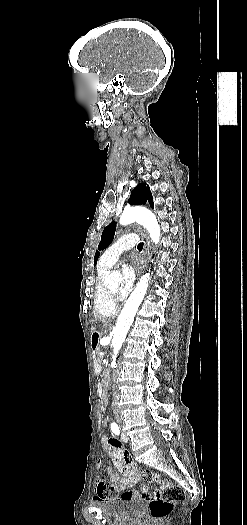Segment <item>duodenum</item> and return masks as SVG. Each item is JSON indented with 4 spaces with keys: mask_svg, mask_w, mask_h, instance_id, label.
Masks as SVG:
<instances>
[{
    "mask_svg": "<svg viewBox=\"0 0 247 525\" xmlns=\"http://www.w3.org/2000/svg\"><path fill=\"white\" fill-rule=\"evenodd\" d=\"M101 370H102V366H101V364L99 363V361L96 360V361L94 362V371H95L96 374H99V373L101 372ZM97 392H98L99 397L102 398V399H104V397H105V396H104V391H103V388H102L101 385H98V387H97Z\"/></svg>",
    "mask_w": 247,
    "mask_h": 525,
    "instance_id": "1",
    "label": "duodenum"
}]
</instances>
